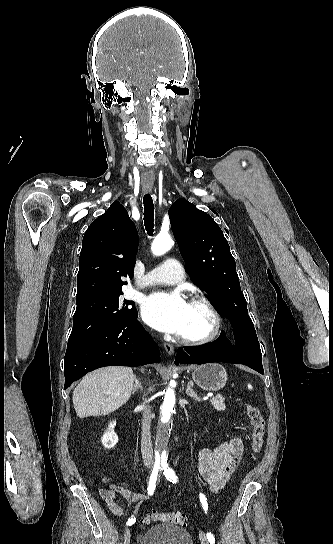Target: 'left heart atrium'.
Returning a JSON list of instances; mask_svg holds the SVG:
<instances>
[{
  "label": "left heart atrium",
  "instance_id": "obj_1",
  "mask_svg": "<svg viewBox=\"0 0 333 544\" xmlns=\"http://www.w3.org/2000/svg\"><path fill=\"white\" fill-rule=\"evenodd\" d=\"M189 304L179 292H156L142 304V317L151 327L166 333L180 334Z\"/></svg>",
  "mask_w": 333,
  "mask_h": 544
}]
</instances>
